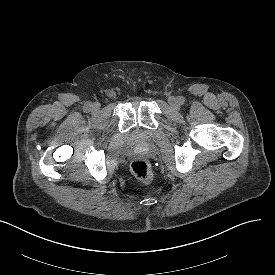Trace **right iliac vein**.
I'll list each match as a JSON object with an SVG mask.
<instances>
[{
	"instance_id": "1",
	"label": "right iliac vein",
	"mask_w": 275,
	"mask_h": 275,
	"mask_svg": "<svg viewBox=\"0 0 275 275\" xmlns=\"http://www.w3.org/2000/svg\"><path fill=\"white\" fill-rule=\"evenodd\" d=\"M99 109H100V105L98 103H92L91 104V111L92 112H97V111H99Z\"/></svg>"
}]
</instances>
